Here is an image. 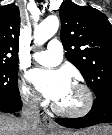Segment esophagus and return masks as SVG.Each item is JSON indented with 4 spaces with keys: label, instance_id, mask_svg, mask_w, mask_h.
<instances>
[{
    "label": "esophagus",
    "instance_id": "1",
    "mask_svg": "<svg viewBox=\"0 0 112 135\" xmlns=\"http://www.w3.org/2000/svg\"><path fill=\"white\" fill-rule=\"evenodd\" d=\"M44 122H45V125H46L48 128L55 129V130H61V129L57 126V124H56L52 119L45 118V119H44Z\"/></svg>",
    "mask_w": 112,
    "mask_h": 135
}]
</instances>
